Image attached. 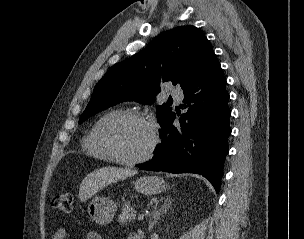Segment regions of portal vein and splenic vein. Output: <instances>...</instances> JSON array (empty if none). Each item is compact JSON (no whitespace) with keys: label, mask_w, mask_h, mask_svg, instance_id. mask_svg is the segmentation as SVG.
Returning a JSON list of instances; mask_svg holds the SVG:
<instances>
[{"label":"portal vein and splenic vein","mask_w":304,"mask_h":239,"mask_svg":"<svg viewBox=\"0 0 304 239\" xmlns=\"http://www.w3.org/2000/svg\"><path fill=\"white\" fill-rule=\"evenodd\" d=\"M137 219H138V221L143 220L144 219V214H139Z\"/></svg>","instance_id":"18ae733b"}]
</instances>
